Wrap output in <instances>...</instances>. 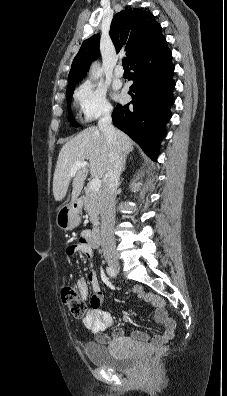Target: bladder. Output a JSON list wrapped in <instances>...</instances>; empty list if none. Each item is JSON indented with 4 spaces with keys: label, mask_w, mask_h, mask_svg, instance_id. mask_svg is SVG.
<instances>
[{
    "label": "bladder",
    "mask_w": 227,
    "mask_h": 396,
    "mask_svg": "<svg viewBox=\"0 0 227 396\" xmlns=\"http://www.w3.org/2000/svg\"><path fill=\"white\" fill-rule=\"evenodd\" d=\"M84 353L92 365L114 372H128L137 364L136 355L124 353L117 346H103L90 342L85 345Z\"/></svg>",
    "instance_id": "bladder-1"
}]
</instances>
